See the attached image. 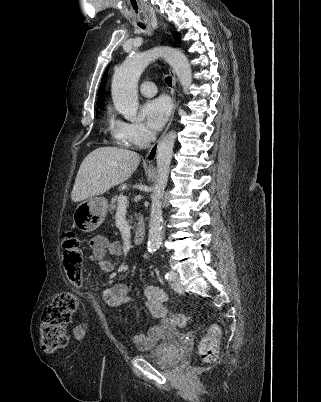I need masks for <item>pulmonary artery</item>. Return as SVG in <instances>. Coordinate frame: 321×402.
Wrapping results in <instances>:
<instances>
[{"mask_svg": "<svg viewBox=\"0 0 321 402\" xmlns=\"http://www.w3.org/2000/svg\"><path fill=\"white\" fill-rule=\"evenodd\" d=\"M139 90L142 95L151 97L157 93V87L153 82L146 81L140 84Z\"/></svg>", "mask_w": 321, "mask_h": 402, "instance_id": "obj_1", "label": "pulmonary artery"}]
</instances>
